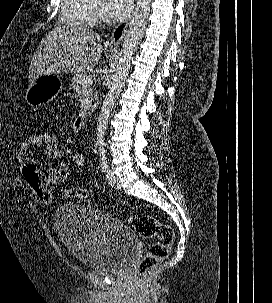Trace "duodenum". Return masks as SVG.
<instances>
[{"label":"duodenum","instance_id":"duodenum-1","mask_svg":"<svg viewBox=\"0 0 272 303\" xmlns=\"http://www.w3.org/2000/svg\"><path fill=\"white\" fill-rule=\"evenodd\" d=\"M96 107V102H92L89 107L84 111V113L81 115V117H79L76 121V125L80 126L82 125V123L84 122L86 116L88 115V113H90L91 111H93Z\"/></svg>","mask_w":272,"mask_h":303}]
</instances>
